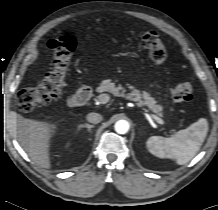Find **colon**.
Masks as SVG:
<instances>
[{
  "label": "colon",
  "instance_id": "5ec220e1",
  "mask_svg": "<svg viewBox=\"0 0 218 210\" xmlns=\"http://www.w3.org/2000/svg\"><path fill=\"white\" fill-rule=\"evenodd\" d=\"M148 58L155 64L166 58V48L160 36L153 31H146L139 36ZM78 39L74 35H66L56 51L55 64L45 80L37 86L28 88L20 94L21 105L28 110H35L59 100L67 85L68 64L77 50ZM172 98L177 102H189L193 97L190 82H181L170 89Z\"/></svg>",
  "mask_w": 218,
  "mask_h": 210
}]
</instances>
